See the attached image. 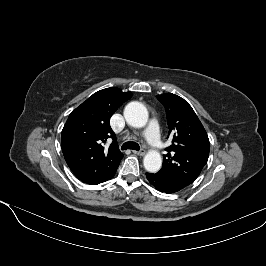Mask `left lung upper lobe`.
<instances>
[{"mask_svg":"<svg viewBox=\"0 0 266 266\" xmlns=\"http://www.w3.org/2000/svg\"><path fill=\"white\" fill-rule=\"evenodd\" d=\"M157 99L166 109L172 145L166 148L160 176L184 188L199 176L209 156L208 135L192 107L183 98L165 93Z\"/></svg>","mask_w":266,"mask_h":266,"instance_id":"1","label":"left lung upper lobe"}]
</instances>
